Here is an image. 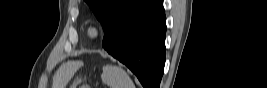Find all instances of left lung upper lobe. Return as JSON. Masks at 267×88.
<instances>
[{
	"label": "left lung upper lobe",
	"mask_w": 267,
	"mask_h": 88,
	"mask_svg": "<svg viewBox=\"0 0 267 88\" xmlns=\"http://www.w3.org/2000/svg\"><path fill=\"white\" fill-rule=\"evenodd\" d=\"M106 33L121 14L138 0H84Z\"/></svg>",
	"instance_id": "left-lung-upper-lobe-1"
}]
</instances>
